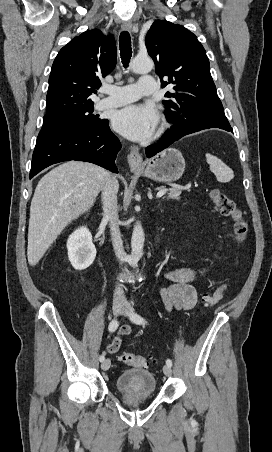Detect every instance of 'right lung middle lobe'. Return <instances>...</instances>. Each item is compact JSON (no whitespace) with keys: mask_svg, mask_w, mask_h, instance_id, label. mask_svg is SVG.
I'll return each mask as SVG.
<instances>
[{"mask_svg":"<svg viewBox=\"0 0 272 452\" xmlns=\"http://www.w3.org/2000/svg\"><path fill=\"white\" fill-rule=\"evenodd\" d=\"M93 105L70 109L62 112L45 114L43 126L53 124H68L78 127H91L103 122L97 115L92 114Z\"/></svg>","mask_w":272,"mask_h":452,"instance_id":"obj_1","label":"right lung middle lobe"}]
</instances>
